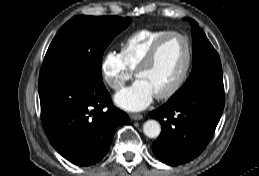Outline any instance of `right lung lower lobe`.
<instances>
[{"instance_id":"98d812e1","label":"right lung lower lobe","mask_w":259,"mask_h":176,"mask_svg":"<svg viewBox=\"0 0 259 176\" xmlns=\"http://www.w3.org/2000/svg\"><path fill=\"white\" fill-rule=\"evenodd\" d=\"M41 120L52 146L68 161L89 166L107 153L115 130L128 122L103 83L63 76L39 82Z\"/></svg>"}]
</instances>
